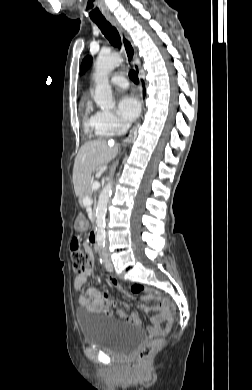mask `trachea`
Masks as SVG:
<instances>
[{
    "instance_id": "3493384b",
    "label": "trachea",
    "mask_w": 252,
    "mask_h": 390,
    "mask_svg": "<svg viewBox=\"0 0 252 390\" xmlns=\"http://www.w3.org/2000/svg\"><path fill=\"white\" fill-rule=\"evenodd\" d=\"M93 22L100 28L101 32L113 46L121 48V39L115 27L105 18L93 19ZM129 77L134 83H139L138 75L134 70L129 72Z\"/></svg>"
}]
</instances>
